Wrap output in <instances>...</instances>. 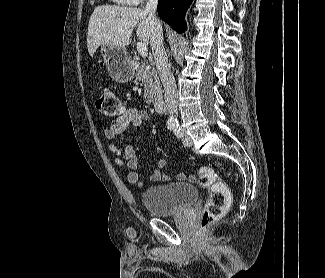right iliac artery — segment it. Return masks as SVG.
I'll return each instance as SVG.
<instances>
[{"label": "right iliac artery", "mask_w": 325, "mask_h": 278, "mask_svg": "<svg viewBox=\"0 0 325 278\" xmlns=\"http://www.w3.org/2000/svg\"><path fill=\"white\" fill-rule=\"evenodd\" d=\"M174 126H175V125H171V124H170V125H168V129L171 130V129H173Z\"/></svg>", "instance_id": "obj_1"}]
</instances>
